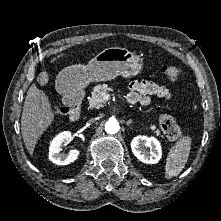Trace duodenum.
<instances>
[{
  "mask_svg": "<svg viewBox=\"0 0 221 221\" xmlns=\"http://www.w3.org/2000/svg\"><path fill=\"white\" fill-rule=\"evenodd\" d=\"M66 102L70 107V119L77 121L81 117L84 92L82 90L63 89Z\"/></svg>",
  "mask_w": 221,
  "mask_h": 221,
  "instance_id": "duodenum-1",
  "label": "duodenum"
}]
</instances>
